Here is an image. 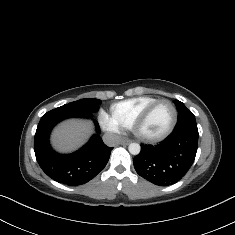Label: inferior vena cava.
Wrapping results in <instances>:
<instances>
[{
    "label": "inferior vena cava",
    "instance_id": "obj_1",
    "mask_svg": "<svg viewBox=\"0 0 235 235\" xmlns=\"http://www.w3.org/2000/svg\"><path fill=\"white\" fill-rule=\"evenodd\" d=\"M104 143L109 147L118 146L121 141V137L118 134H105L103 136Z\"/></svg>",
    "mask_w": 235,
    "mask_h": 235
}]
</instances>
